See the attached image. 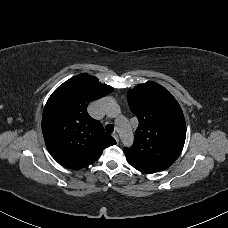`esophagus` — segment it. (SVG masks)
I'll return each mask as SVG.
<instances>
[{
	"label": "esophagus",
	"instance_id": "obj_1",
	"mask_svg": "<svg viewBox=\"0 0 228 228\" xmlns=\"http://www.w3.org/2000/svg\"><path fill=\"white\" fill-rule=\"evenodd\" d=\"M112 136L115 138V140H116L117 142L119 141V137H118V135H117L116 133H114Z\"/></svg>",
	"mask_w": 228,
	"mask_h": 228
}]
</instances>
